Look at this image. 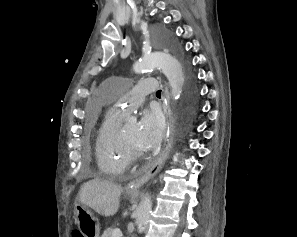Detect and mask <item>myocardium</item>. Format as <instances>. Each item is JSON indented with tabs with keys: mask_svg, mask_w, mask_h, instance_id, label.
Instances as JSON below:
<instances>
[{
	"mask_svg": "<svg viewBox=\"0 0 297 237\" xmlns=\"http://www.w3.org/2000/svg\"><path fill=\"white\" fill-rule=\"evenodd\" d=\"M119 140L122 146L124 147L126 153L128 154L129 158L131 159V161L141 159L145 156L144 151L136 149L127 141V139L122 134L121 130H119Z\"/></svg>",
	"mask_w": 297,
	"mask_h": 237,
	"instance_id": "myocardium-1",
	"label": "myocardium"
}]
</instances>
